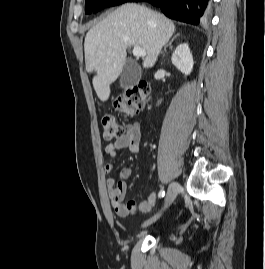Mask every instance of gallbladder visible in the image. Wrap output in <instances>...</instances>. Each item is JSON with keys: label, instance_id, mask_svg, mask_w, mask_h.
<instances>
[{"label": "gallbladder", "instance_id": "bac80fb5", "mask_svg": "<svg viewBox=\"0 0 265 269\" xmlns=\"http://www.w3.org/2000/svg\"><path fill=\"white\" fill-rule=\"evenodd\" d=\"M140 78V68L133 61L128 60L125 62L121 77H120V87L123 89H128L134 86Z\"/></svg>", "mask_w": 265, "mask_h": 269}]
</instances>
